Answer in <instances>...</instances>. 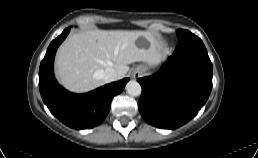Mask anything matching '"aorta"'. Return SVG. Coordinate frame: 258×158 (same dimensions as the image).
I'll list each match as a JSON object with an SVG mask.
<instances>
[{
	"mask_svg": "<svg viewBox=\"0 0 258 158\" xmlns=\"http://www.w3.org/2000/svg\"><path fill=\"white\" fill-rule=\"evenodd\" d=\"M126 91L131 96H139L141 94V86L137 81L131 80L126 84Z\"/></svg>",
	"mask_w": 258,
	"mask_h": 158,
	"instance_id": "aorta-1",
	"label": "aorta"
}]
</instances>
